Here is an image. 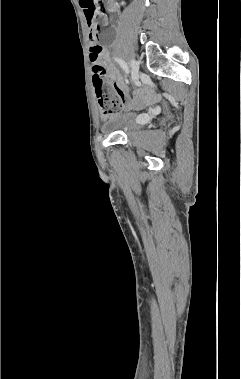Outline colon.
<instances>
[{
  "label": "colon",
  "mask_w": 241,
  "mask_h": 379,
  "mask_svg": "<svg viewBox=\"0 0 241 379\" xmlns=\"http://www.w3.org/2000/svg\"><path fill=\"white\" fill-rule=\"evenodd\" d=\"M80 5L84 10L85 17L89 24H93L97 15V4L103 7L104 0H80ZM90 40V59L94 63L93 69L88 71V76L94 84L97 101L102 116L108 119L119 113L123 107L122 99L114 94L110 88L105 85V68L98 64V58L101 53V47L97 43L96 28L91 27L89 32Z\"/></svg>",
  "instance_id": "colon-1"
}]
</instances>
